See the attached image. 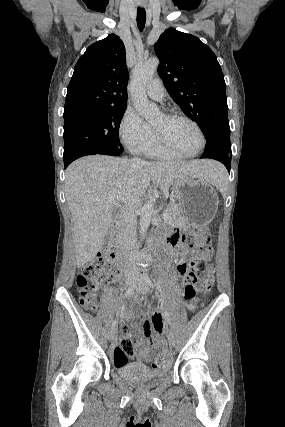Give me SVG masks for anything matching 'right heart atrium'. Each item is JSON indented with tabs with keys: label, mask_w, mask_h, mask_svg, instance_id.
<instances>
[{
	"label": "right heart atrium",
	"mask_w": 285,
	"mask_h": 427,
	"mask_svg": "<svg viewBox=\"0 0 285 427\" xmlns=\"http://www.w3.org/2000/svg\"><path fill=\"white\" fill-rule=\"evenodd\" d=\"M120 136L130 151L142 153L153 140L154 133L133 108H128L120 124Z\"/></svg>",
	"instance_id": "1"
}]
</instances>
